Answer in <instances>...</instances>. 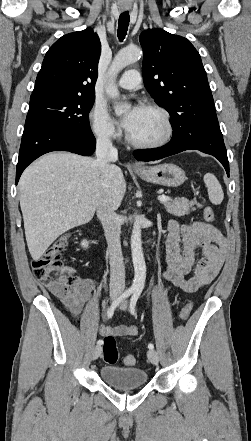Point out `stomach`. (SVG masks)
Masks as SVG:
<instances>
[{
    "label": "stomach",
    "mask_w": 251,
    "mask_h": 441,
    "mask_svg": "<svg viewBox=\"0 0 251 441\" xmlns=\"http://www.w3.org/2000/svg\"><path fill=\"white\" fill-rule=\"evenodd\" d=\"M134 171L146 182L168 187H178L186 179L184 170L174 164H161Z\"/></svg>",
    "instance_id": "stomach-1"
}]
</instances>
